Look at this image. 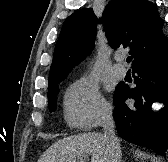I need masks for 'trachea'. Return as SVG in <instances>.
<instances>
[{"label":"trachea","instance_id":"1","mask_svg":"<svg viewBox=\"0 0 168 162\" xmlns=\"http://www.w3.org/2000/svg\"><path fill=\"white\" fill-rule=\"evenodd\" d=\"M131 61H132V57L131 56L127 57V62L130 63Z\"/></svg>","mask_w":168,"mask_h":162}]
</instances>
